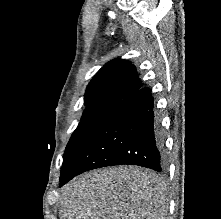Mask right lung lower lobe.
<instances>
[{"mask_svg":"<svg viewBox=\"0 0 221 219\" xmlns=\"http://www.w3.org/2000/svg\"><path fill=\"white\" fill-rule=\"evenodd\" d=\"M122 164L166 169L164 136L147 87L124 98L70 153L60 187L85 171Z\"/></svg>","mask_w":221,"mask_h":219,"instance_id":"98d812e1","label":"right lung lower lobe"}]
</instances>
